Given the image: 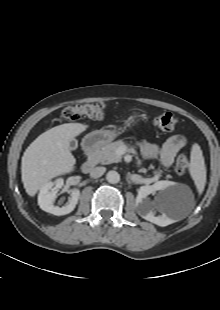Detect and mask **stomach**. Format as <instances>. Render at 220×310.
Listing matches in <instances>:
<instances>
[{"label": "stomach", "instance_id": "obj_1", "mask_svg": "<svg viewBox=\"0 0 220 310\" xmlns=\"http://www.w3.org/2000/svg\"><path fill=\"white\" fill-rule=\"evenodd\" d=\"M137 121V117H131L129 120L130 124H134ZM118 132L111 130H95L89 134H87L84 138V141L89 144V147L96 148L108 144L111 142L116 136Z\"/></svg>", "mask_w": 220, "mask_h": 310}]
</instances>
